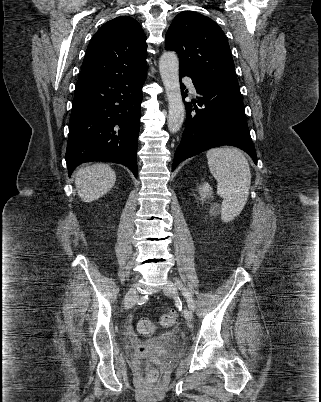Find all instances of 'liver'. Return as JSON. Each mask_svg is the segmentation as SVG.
I'll return each mask as SVG.
<instances>
[{
    "instance_id": "obj_1",
    "label": "liver",
    "mask_w": 321,
    "mask_h": 402,
    "mask_svg": "<svg viewBox=\"0 0 321 402\" xmlns=\"http://www.w3.org/2000/svg\"><path fill=\"white\" fill-rule=\"evenodd\" d=\"M115 182V172L103 163L83 167L75 175V185L83 202H92L104 196L112 189Z\"/></svg>"
}]
</instances>
